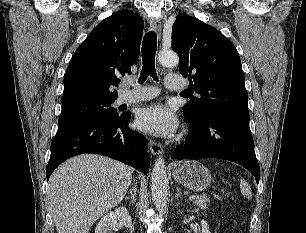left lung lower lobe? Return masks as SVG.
Listing matches in <instances>:
<instances>
[{"label":"left lung lower lobe","instance_id":"0a47b994","mask_svg":"<svg viewBox=\"0 0 306 233\" xmlns=\"http://www.w3.org/2000/svg\"><path fill=\"white\" fill-rule=\"evenodd\" d=\"M249 115L218 112L190 123L189 135L172 159L214 157L238 163L260 178V168L249 130Z\"/></svg>","mask_w":306,"mask_h":233}]
</instances>
